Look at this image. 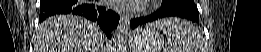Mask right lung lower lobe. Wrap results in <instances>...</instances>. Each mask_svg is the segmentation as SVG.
Wrapping results in <instances>:
<instances>
[{"label": "right lung lower lobe", "instance_id": "right-lung-lower-lobe-1", "mask_svg": "<svg viewBox=\"0 0 261 52\" xmlns=\"http://www.w3.org/2000/svg\"><path fill=\"white\" fill-rule=\"evenodd\" d=\"M56 14H76L96 22L111 39V32L117 27L119 16L96 0H41L39 22Z\"/></svg>", "mask_w": 261, "mask_h": 52}]
</instances>
